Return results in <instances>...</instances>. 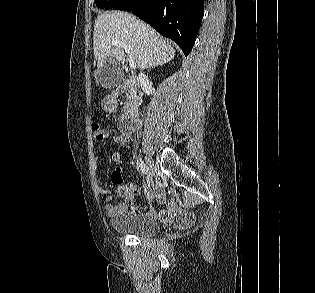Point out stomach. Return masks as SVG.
Wrapping results in <instances>:
<instances>
[{
	"instance_id": "stomach-1",
	"label": "stomach",
	"mask_w": 315,
	"mask_h": 293,
	"mask_svg": "<svg viewBox=\"0 0 315 293\" xmlns=\"http://www.w3.org/2000/svg\"><path fill=\"white\" fill-rule=\"evenodd\" d=\"M119 103L121 96H116L115 92H106L105 96H100V105L105 111L117 110Z\"/></svg>"
}]
</instances>
